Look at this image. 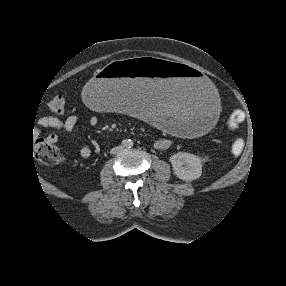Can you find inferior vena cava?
Returning <instances> with one entry per match:
<instances>
[{"label": "inferior vena cava", "instance_id": "obj_1", "mask_svg": "<svg viewBox=\"0 0 286 286\" xmlns=\"http://www.w3.org/2000/svg\"><path fill=\"white\" fill-rule=\"evenodd\" d=\"M121 149H122L121 146L114 147V148L111 149L110 153H111V154H116V153H118Z\"/></svg>", "mask_w": 286, "mask_h": 286}]
</instances>
